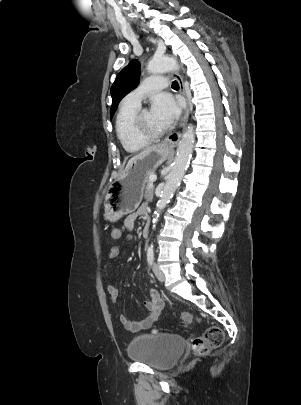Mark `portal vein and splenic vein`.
<instances>
[{
	"mask_svg": "<svg viewBox=\"0 0 301 405\" xmlns=\"http://www.w3.org/2000/svg\"><path fill=\"white\" fill-rule=\"evenodd\" d=\"M156 179H157V176H156V175H151V176H150V181H151V182L156 181Z\"/></svg>",
	"mask_w": 301,
	"mask_h": 405,
	"instance_id": "portal-vein-and-splenic-vein-1",
	"label": "portal vein and splenic vein"
}]
</instances>
